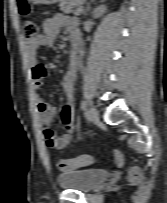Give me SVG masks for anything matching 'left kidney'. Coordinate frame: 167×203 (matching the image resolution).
<instances>
[{
	"label": "left kidney",
	"mask_w": 167,
	"mask_h": 203,
	"mask_svg": "<svg viewBox=\"0 0 167 203\" xmlns=\"http://www.w3.org/2000/svg\"><path fill=\"white\" fill-rule=\"evenodd\" d=\"M106 8L104 6H100L98 8H96L94 11H93V17L94 18H99L103 15V13L105 12Z\"/></svg>",
	"instance_id": "5707ae66"
}]
</instances>
